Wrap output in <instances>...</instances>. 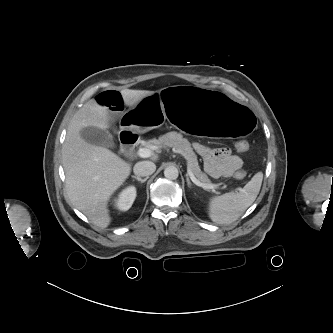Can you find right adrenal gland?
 I'll list each match as a JSON object with an SVG mask.
<instances>
[{
    "label": "right adrenal gland",
    "instance_id": "obj_1",
    "mask_svg": "<svg viewBox=\"0 0 333 333\" xmlns=\"http://www.w3.org/2000/svg\"><path fill=\"white\" fill-rule=\"evenodd\" d=\"M131 177L134 178V179H136V180H138V181H140L141 183H144V182H146L148 180V177H145L144 179H142L139 176H135V175H132Z\"/></svg>",
    "mask_w": 333,
    "mask_h": 333
}]
</instances>
